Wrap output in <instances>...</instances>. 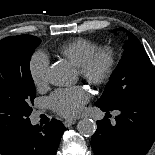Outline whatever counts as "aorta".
<instances>
[{"instance_id": "obj_1", "label": "aorta", "mask_w": 155, "mask_h": 155, "mask_svg": "<svg viewBox=\"0 0 155 155\" xmlns=\"http://www.w3.org/2000/svg\"><path fill=\"white\" fill-rule=\"evenodd\" d=\"M47 79L55 86L68 85L74 79L73 69L66 62H57L49 68ZM77 130L83 136H92L96 131V123L90 118H83L78 122Z\"/></svg>"}]
</instances>
